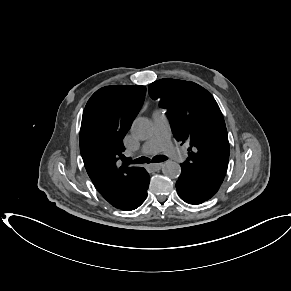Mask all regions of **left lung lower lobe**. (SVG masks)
<instances>
[{
  "label": "left lung lower lobe",
  "instance_id": "left-lung-lower-lobe-1",
  "mask_svg": "<svg viewBox=\"0 0 291 291\" xmlns=\"http://www.w3.org/2000/svg\"><path fill=\"white\" fill-rule=\"evenodd\" d=\"M220 188L215 183L199 173L182 167L181 175L176 182L179 197L188 204H201L212 198Z\"/></svg>",
  "mask_w": 291,
  "mask_h": 291
}]
</instances>
